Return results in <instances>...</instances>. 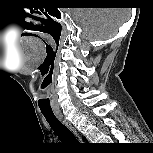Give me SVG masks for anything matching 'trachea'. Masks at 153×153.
Here are the masks:
<instances>
[{
  "label": "trachea",
  "instance_id": "1",
  "mask_svg": "<svg viewBox=\"0 0 153 153\" xmlns=\"http://www.w3.org/2000/svg\"><path fill=\"white\" fill-rule=\"evenodd\" d=\"M42 114L46 118L51 128L54 130L55 134L63 143L69 145L79 143L73 133L57 119L53 112L42 111Z\"/></svg>",
  "mask_w": 153,
  "mask_h": 153
}]
</instances>
